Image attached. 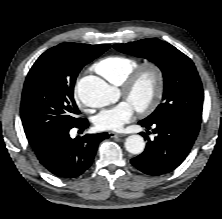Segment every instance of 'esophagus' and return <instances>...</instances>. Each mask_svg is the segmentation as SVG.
<instances>
[{
  "label": "esophagus",
  "instance_id": "34e87169",
  "mask_svg": "<svg viewBox=\"0 0 222 219\" xmlns=\"http://www.w3.org/2000/svg\"><path fill=\"white\" fill-rule=\"evenodd\" d=\"M109 135L111 138H116V137H123L125 136L124 134H118V133H115V132H109Z\"/></svg>",
  "mask_w": 222,
  "mask_h": 219
}]
</instances>
